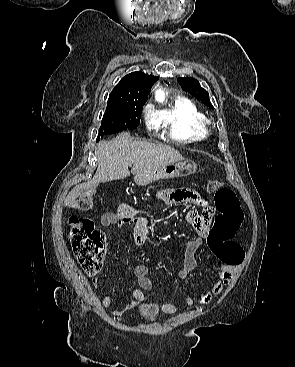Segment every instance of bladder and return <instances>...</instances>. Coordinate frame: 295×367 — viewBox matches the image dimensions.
Here are the masks:
<instances>
[{
  "label": "bladder",
  "mask_w": 295,
  "mask_h": 367,
  "mask_svg": "<svg viewBox=\"0 0 295 367\" xmlns=\"http://www.w3.org/2000/svg\"><path fill=\"white\" fill-rule=\"evenodd\" d=\"M160 313V308L157 303L151 302L141 306L139 317L143 321H152L157 318Z\"/></svg>",
  "instance_id": "bladder-1"
}]
</instances>
